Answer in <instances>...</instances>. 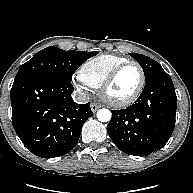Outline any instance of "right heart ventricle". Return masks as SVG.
Wrapping results in <instances>:
<instances>
[{"label":"right heart ventricle","mask_w":193,"mask_h":193,"mask_svg":"<svg viewBox=\"0 0 193 193\" xmlns=\"http://www.w3.org/2000/svg\"><path fill=\"white\" fill-rule=\"evenodd\" d=\"M129 61L127 58L112 54H103L85 61L78 75L86 85L99 88L107 75L117 66Z\"/></svg>","instance_id":"obj_1"}]
</instances>
